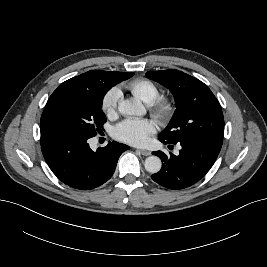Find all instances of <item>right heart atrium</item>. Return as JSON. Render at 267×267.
Segmentation results:
<instances>
[{
	"label": "right heart atrium",
	"mask_w": 267,
	"mask_h": 267,
	"mask_svg": "<svg viewBox=\"0 0 267 267\" xmlns=\"http://www.w3.org/2000/svg\"><path fill=\"white\" fill-rule=\"evenodd\" d=\"M120 96L121 93L117 87L109 89L104 94L101 101V108L106 116L111 117L115 115Z\"/></svg>",
	"instance_id": "1"
}]
</instances>
